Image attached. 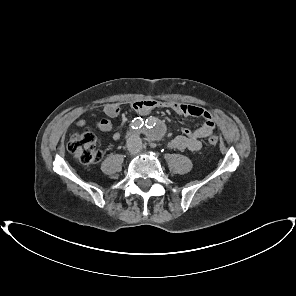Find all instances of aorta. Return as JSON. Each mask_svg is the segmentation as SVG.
Instances as JSON below:
<instances>
[{
	"mask_svg": "<svg viewBox=\"0 0 296 296\" xmlns=\"http://www.w3.org/2000/svg\"><path fill=\"white\" fill-rule=\"evenodd\" d=\"M148 136L151 138V139H158L159 138V135L155 132V129L157 127V124L154 120H150L148 121Z\"/></svg>",
	"mask_w": 296,
	"mask_h": 296,
	"instance_id": "obj_1",
	"label": "aorta"
}]
</instances>
